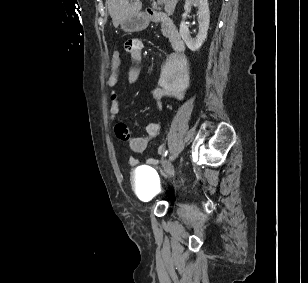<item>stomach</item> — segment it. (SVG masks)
<instances>
[{
  "label": "stomach",
  "instance_id": "obj_1",
  "mask_svg": "<svg viewBox=\"0 0 308 283\" xmlns=\"http://www.w3.org/2000/svg\"><path fill=\"white\" fill-rule=\"evenodd\" d=\"M149 24L148 17L143 13L126 17L121 23V29L125 32H138L147 28Z\"/></svg>",
  "mask_w": 308,
  "mask_h": 283
}]
</instances>
